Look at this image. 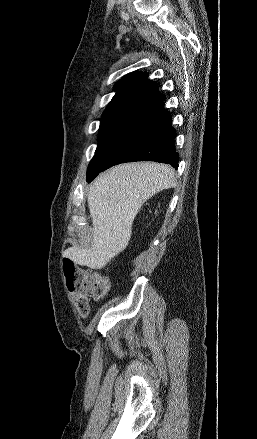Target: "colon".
I'll list each match as a JSON object with an SVG mask.
<instances>
[{
  "mask_svg": "<svg viewBox=\"0 0 257 439\" xmlns=\"http://www.w3.org/2000/svg\"><path fill=\"white\" fill-rule=\"evenodd\" d=\"M67 288L73 297L78 313L85 316L89 313V300L99 299L109 290L108 279L98 273H92L77 267L72 261L63 263Z\"/></svg>",
  "mask_w": 257,
  "mask_h": 439,
  "instance_id": "obj_1",
  "label": "colon"
}]
</instances>
